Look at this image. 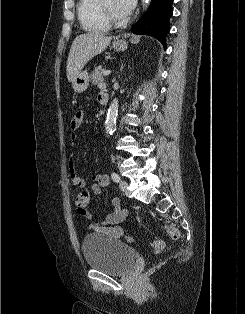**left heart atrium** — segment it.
I'll list each match as a JSON object with an SVG mask.
<instances>
[{
  "mask_svg": "<svg viewBox=\"0 0 245 314\" xmlns=\"http://www.w3.org/2000/svg\"><path fill=\"white\" fill-rule=\"evenodd\" d=\"M116 5L119 10L127 15L133 10L135 6V0H116Z\"/></svg>",
  "mask_w": 245,
  "mask_h": 314,
  "instance_id": "1",
  "label": "left heart atrium"
}]
</instances>
